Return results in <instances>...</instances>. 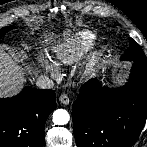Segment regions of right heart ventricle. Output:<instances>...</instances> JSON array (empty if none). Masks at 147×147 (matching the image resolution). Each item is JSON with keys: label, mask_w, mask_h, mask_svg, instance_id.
<instances>
[{"label": "right heart ventricle", "mask_w": 147, "mask_h": 147, "mask_svg": "<svg viewBox=\"0 0 147 147\" xmlns=\"http://www.w3.org/2000/svg\"><path fill=\"white\" fill-rule=\"evenodd\" d=\"M97 36L90 30L76 32L53 48L59 65H70L80 60L95 44Z\"/></svg>", "instance_id": "e07e8e85"}]
</instances>
